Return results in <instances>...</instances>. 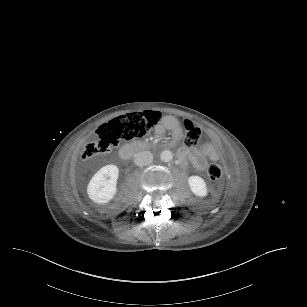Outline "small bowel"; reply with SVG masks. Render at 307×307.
I'll return each mask as SVG.
<instances>
[{
  "label": "small bowel",
  "instance_id": "c3829d8e",
  "mask_svg": "<svg viewBox=\"0 0 307 307\" xmlns=\"http://www.w3.org/2000/svg\"><path fill=\"white\" fill-rule=\"evenodd\" d=\"M166 127L171 131V145H177L182 139V128L175 120H169ZM178 155L182 161L189 160L195 168L204 170L207 167L208 161H217L219 153L211 142L204 143L200 148L182 147Z\"/></svg>",
  "mask_w": 307,
  "mask_h": 307
}]
</instances>
